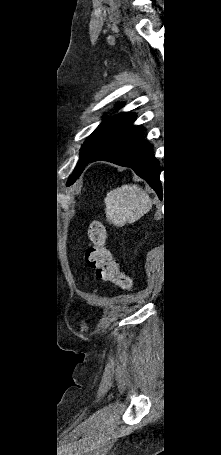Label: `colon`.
Listing matches in <instances>:
<instances>
[{"mask_svg": "<svg viewBox=\"0 0 221 455\" xmlns=\"http://www.w3.org/2000/svg\"><path fill=\"white\" fill-rule=\"evenodd\" d=\"M88 235L91 245L86 252V261L95 271L97 279L110 282L121 289H131L133 286L131 277L119 269L106 247V233L102 223L93 221Z\"/></svg>", "mask_w": 221, "mask_h": 455, "instance_id": "1", "label": "colon"}]
</instances>
